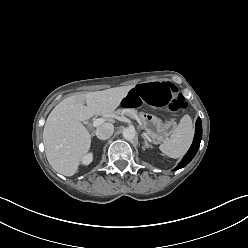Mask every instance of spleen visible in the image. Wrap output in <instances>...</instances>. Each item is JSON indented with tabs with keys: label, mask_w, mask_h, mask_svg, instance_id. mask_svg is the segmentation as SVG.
I'll return each mask as SVG.
<instances>
[{
	"label": "spleen",
	"mask_w": 248,
	"mask_h": 248,
	"mask_svg": "<svg viewBox=\"0 0 248 248\" xmlns=\"http://www.w3.org/2000/svg\"><path fill=\"white\" fill-rule=\"evenodd\" d=\"M194 135L191 117L184 115L170 138L160 145V150L171 158L182 157L189 149Z\"/></svg>",
	"instance_id": "spleen-1"
}]
</instances>
